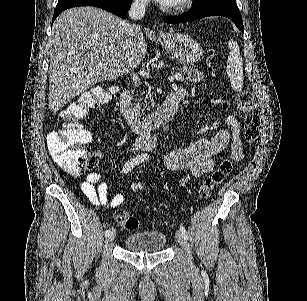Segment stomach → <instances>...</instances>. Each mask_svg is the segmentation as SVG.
Wrapping results in <instances>:
<instances>
[{
    "label": "stomach",
    "instance_id": "stomach-1",
    "mask_svg": "<svg viewBox=\"0 0 307 301\" xmlns=\"http://www.w3.org/2000/svg\"><path fill=\"white\" fill-rule=\"evenodd\" d=\"M158 40H160L167 52H171L174 58H177L184 66L194 64L203 56V48L200 42H197L195 38H191L189 34L159 32Z\"/></svg>",
    "mask_w": 307,
    "mask_h": 301
}]
</instances>
